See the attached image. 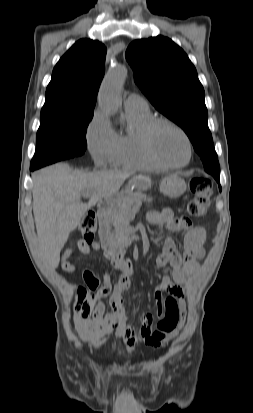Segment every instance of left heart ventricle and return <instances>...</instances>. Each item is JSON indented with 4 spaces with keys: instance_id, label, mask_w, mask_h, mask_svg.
Returning <instances> with one entry per match:
<instances>
[{
    "instance_id": "b2bd125f",
    "label": "left heart ventricle",
    "mask_w": 253,
    "mask_h": 413,
    "mask_svg": "<svg viewBox=\"0 0 253 413\" xmlns=\"http://www.w3.org/2000/svg\"><path fill=\"white\" fill-rule=\"evenodd\" d=\"M152 146L156 155L170 164L183 163L187 158V146L182 135L166 124L158 125L152 134Z\"/></svg>"
}]
</instances>
